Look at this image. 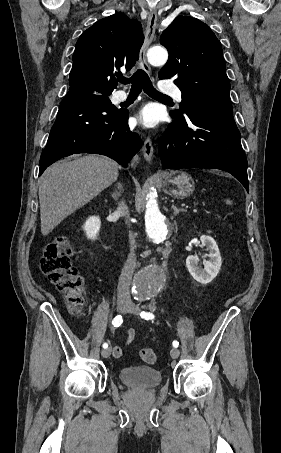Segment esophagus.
I'll list each match as a JSON object with an SVG mask.
<instances>
[{"instance_id": "esophagus-1", "label": "esophagus", "mask_w": 281, "mask_h": 453, "mask_svg": "<svg viewBox=\"0 0 281 453\" xmlns=\"http://www.w3.org/2000/svg\"><path fill=\"white\" fill-rule=\"evenodd\" d=\"M156 26H157V11L155 9H152L148 17L145 31V39L139 55L140 66L147 73H151V68L146 60V52L154 39ZM142 153L147 162H150L154 153L153 144L150 137H147L146 140L144 141Z\"/></svg>"}]
</instances>
